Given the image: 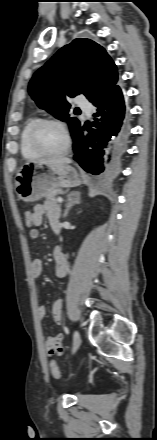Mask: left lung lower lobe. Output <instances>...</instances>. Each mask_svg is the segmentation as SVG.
I'll use <instances>...</instances> for the list:
<instances>
[{
	"instance_id": "obj_1",
	"label": "left lung lower lobe",
	"mask_w": 157,
	"mask_h": 440,
	"mask_svg": "<svg viewBox=\"0 0 157 440\" xmlns=\"http://www.w3.org/2000/svg\"><path fill=\"white\" fill-rule=\"evenodd\" d=\"M94 121L72 133L73 159L88 173L99 175L123 153L129 136V112L122 89L115 86L93 102Z\"/></svg>"
}]
</instances>
